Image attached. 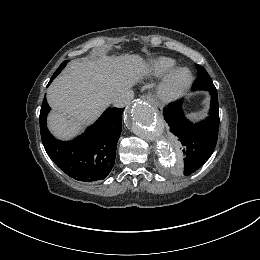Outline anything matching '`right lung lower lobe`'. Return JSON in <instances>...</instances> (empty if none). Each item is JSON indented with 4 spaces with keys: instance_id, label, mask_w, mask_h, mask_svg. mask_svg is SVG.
I'll return each instance as SVG.
<instances>
[{
    "instance_id": "right-lung-lower-lobe-1",
    "label": "right lung lower lobe",
    "mask_w": 260,
    "mask_h": 260,
    "mask_svg": "<svg viewBox=\"0 0 260 260\" xmlns=\"http://www.w3.org/2000/svg\"><path fill=\"white\" fill-rule=\"evenodd\" d=\"M53 74L50 82L56 77ZM50 106L44 99L39 121L44 148L68 176L85 182L104 179L114 166L117 142L122 131L123 109L108 108L87 130L72 141L55 139L46 125Z\"/></svg>"
}]
</instances>
